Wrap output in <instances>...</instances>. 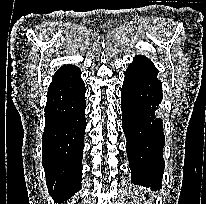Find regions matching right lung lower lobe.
Returning a JSON list of instances; mask_svg holds the SVG:
<instances>
[{"instance_id": "right-lung-lower-lobe-1", "label": "right lung lower lobe", "mask_w": 206, "mask_h": 204, "mask_svg": "<svg viewBox=\"0 0 206 204\" xmlns=\"http://www.w3.org/2000/svg\"><path fill=\"white\" fill-rule=\"evenodd\" d=\"M85 91L80 69L72 65L62 66L48 89L42 164L55 201L70 198L81 187Z\"/></svg>"}]
</instances>
